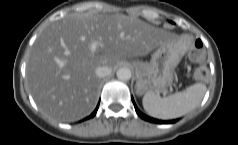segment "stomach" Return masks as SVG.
I'll return each instance as SVG.
<instances>
[{"label":"stomach","mask_w":238,"mask_h":145,"mask_svg":"<svg viewBox=\"0 0 238 145\" xmlns=\"http://www.w3.org/2000/svg\"><path fill=\"white\" fill-rule=\"evenodd\" d=\"M181 59L178 41H163L151 56L150 62L137 61L136 92L139 95L164 91L172 85L174 70Z\"/></svg>","instance_id":"stomach-1"}]
</instances>
